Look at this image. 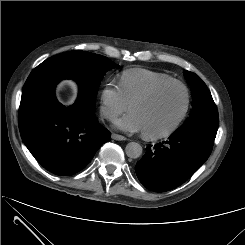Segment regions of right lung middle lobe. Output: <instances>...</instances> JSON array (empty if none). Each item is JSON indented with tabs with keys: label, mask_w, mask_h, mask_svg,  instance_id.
<instances>
[{
	"label": "right lung middle lobe",
	"mask_w": 245,
	"mask_h": 245,
	"mask_svg": "<svg viewBox=\"0 0 245 245\" xmlns=\"http://www.w3.org/2000/svg\"><path fill=\"white\" fill-rule=\"evenodd\" d=\"M49 60L54 68L67 75L65 78H75L79 83L80 92L75 104L81 111L86 112L94 110L96 95L104 74L118 66L107 57L80 50L65 52ZM54 99L52 88H37L28 78L22 90L19 116L32 114Z\"/></svg>",
	"instance_id": "1"
}]
</instances>
